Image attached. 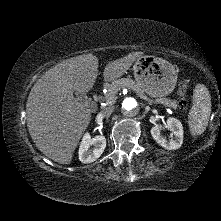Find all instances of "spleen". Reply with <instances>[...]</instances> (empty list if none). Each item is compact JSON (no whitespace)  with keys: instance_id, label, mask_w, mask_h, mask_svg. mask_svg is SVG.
<instances>
[{"instance_id":"1","label":"spleen","mask_w":221,"mask_h":221,"mask_svg":"<svg viewBox=\"0 0 221 221\" xmlns=\"http://www.w3.org/2000/svg\"><path fill=\"white\" fill-rule=\"evenodd\" d=\"M211 114V98L203 84H197L193 93V106L188 115V124L192 135L202 134Z\"/></svg>"}]
</instances>
